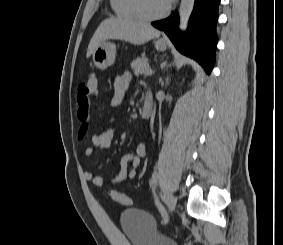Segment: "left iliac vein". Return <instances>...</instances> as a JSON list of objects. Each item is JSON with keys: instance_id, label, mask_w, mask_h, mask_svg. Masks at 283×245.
Wrapping results in <instances>:
<instances>
[{"instance_id": "obj_1", "label": "left iliac vein", "mask_w": 283, "mask_h": 245, "mask_svg": "<svg viewBox=\"0 0 283 245\" xmlns=\"http://www.w3.org/2000/svg\"><path fill=\"white\" fill-rule=\"evenodd\" d=\"M164 197H165V203H166V206L169 212H173L176 207L175 197L169 192H166ZM167 221H168V217H167Z\"/></svg>"}]
</instances>
